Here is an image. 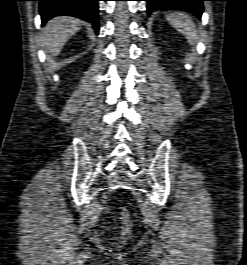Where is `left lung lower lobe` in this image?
I'll use <instances>...</instances> for the list:
<instances>
[{
  "instance_id": "left-lung-lower-lobe-1",
  "label": "left lung lower lobe",
  "mask_w": 247,
  "mask_h": 265,
  "mask_svg": "<svg viewBox=\"0 0 247 265\" xmlns=\"http://www.w3.org/2000/svg\"><path fill=\"white\" fill-rule=\"evenodd\" d=\"M147 1V12L151 13L156 9L178 8L192 12L198 18L203 12V1L208 0H144Z\"/></svg>"
}]
</instances>
